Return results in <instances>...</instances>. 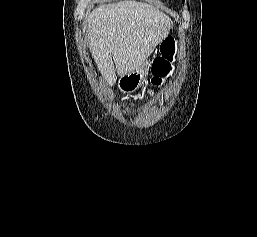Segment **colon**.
I'll use <instances>...</instances> for the list:
<instances>
[{"label":"colon","mask_w":257,"mask_h":237,"mask_svg":"<svg viewBox=\"0 0 257 237\" xmlns=\"http://www.w3.org/2000/svg\"><path fill=\"white\" fill-rule=\"evenodd\" d=\"M177 51V43L174 37H166L160 45V54L152 67L151 83L153 87H160L170 77L172 63Z\"/></svg>","instance_id":"1"}]
</instances>
